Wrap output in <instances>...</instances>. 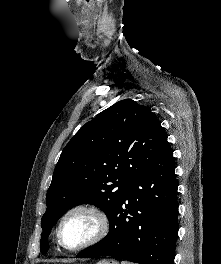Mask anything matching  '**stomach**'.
<instances>
[{
    "instance_id": "0dacf381",
    "label": "stomach",
    "mask_w": 221,
    "mask_h": 264,
    "mask_svg": "<svg viewBox=\"0 0 221 264\" xmlns=\"http://www.w3.org/2000/svg\"><path fill=\"white\" fill-rule=\"evenodd\" d=\"M97 264H119V263L112 259H103L99 261Z\"/></svg>"
}]
</instances>
